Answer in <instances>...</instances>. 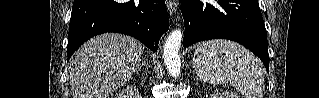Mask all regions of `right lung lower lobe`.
I'll use <instances>...</instances> for the list:
<instances>
[{
	"label": "right lung lower lobe",
	"mask_w": 319,
	"mask_h": 98,
	"mask_svg": "<svg viewBox=\"0 0 319 98\" xmlns=\"http://www.w3.org/2000/svg\"><path fill=\"white\" fill-rule=\"evenodd\" d=\"M169 28L164 0H74L68 60L89 38L106 32L133 36L153 52Z\"/></svg>",
	"instance_id": "1"
}]
</instances>
